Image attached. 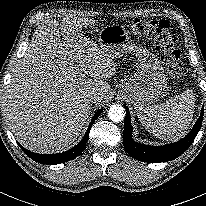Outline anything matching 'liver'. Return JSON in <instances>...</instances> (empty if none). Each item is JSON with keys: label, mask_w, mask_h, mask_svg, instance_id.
Returning a JSON list of instances; mask_svg holds the SVG:
<instances>
[{"label": "liver", "mask_w": 206, "mask_h": 206, "mask_svg": "<svg viewBox=\"0 0 206 206\" xmlns=\"http://www.w3.org/2000/svg\"><path fill=\"white\" fill-rule=\"evenodd\" d=\"M88 18L45 20L13 71L4 100L10 128L18 142L36 153H56L76 138L91 112L88 95L101 105L106 82L116 73L114 57L81 30ZM90 78H84L82 73Z\"/></svg>", "instance_id": "6515ba94"}]
</instances>
